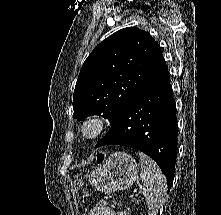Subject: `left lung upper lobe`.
<instances>
[{"label": "left lung upper lobe", "instance_id": "5c2ea615", "mask_svg": "<svg viewBox=\"0 0 221 215\" xmlns=\"http://www.w3.org/2000/svg\"><path fill=\"white\" fill-rule=\"evenodd\" d=\"M157 42L128 27L98 44L85 60L73 95V118L101 115L112 125L166 70Z\"/></svg>", "mask_w": 221, "mask_h": 215}]
</instances>
